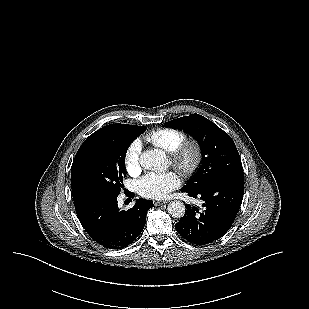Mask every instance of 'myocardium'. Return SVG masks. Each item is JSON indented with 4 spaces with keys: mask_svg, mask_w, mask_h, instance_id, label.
Returning <instances> with one entry per match:
<instances>
[{
    "mask_svg": "<svg viewBox=\"0 0 309 309\" xmlns=\"http://www.w3.org/2000/svg\"><path fill=\"white\" fill-rule=\"evenodd\" d=\"M202 157V147L195 139H185L170 153L171 164L184 176H191L197 171Z\"/></svg>",
    "mask_w": 309,
    "mask_h": 309,
    "instance_id": "1",
    "label": "myocardium"
}]
</instances>
